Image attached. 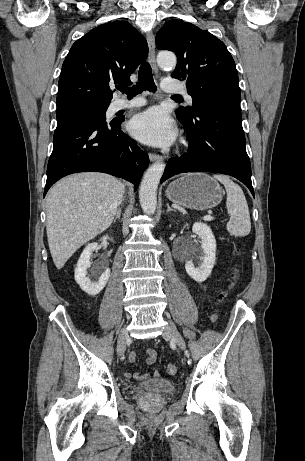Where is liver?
<instances>
[{
    "instance_id": "6515ba94",
    "label": "liver",
    "mask_w": 305,
    "mask_h": 461,
    "mask_svg": "<svg viewBox=\"0 0 305 461\" xmlns=\"http://www.w3.org/2000/svg\"><path fill=\"white\" fill-rule=\"evenodd\" d=\"M123 194L124 186L117 178L97 172L68 176L50 189L46 230L57 269L111 225Z\"/></svg>"
}]
</instances>
